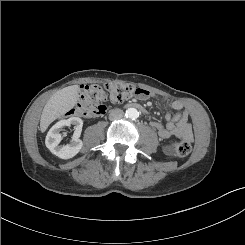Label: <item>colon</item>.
<instances>
[{"instance_id":"obj_1","label":"colon","mask_w":245,"mask_h":245,"mask_svg":"<svg viewBox=\"0 0 245 245\" xmlns=\"http://www.w3.org/2000/svg\"><path fill=\"white\" fill-rule=\"evenodd\" d=\"M143 89H137L130 84L121 82H110L104 87L91 84L83 85L80 89V98L75 108L67 115L82 117H97L106 112V102L121 103L133 96L145 94ZM172 151L179 157H186L190 154L192 146L188 140L172 144Z\"/></svg>"}]
</instances>
